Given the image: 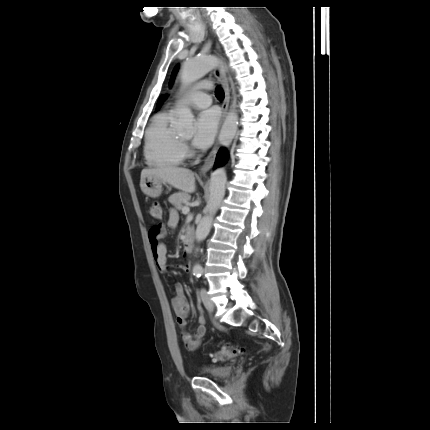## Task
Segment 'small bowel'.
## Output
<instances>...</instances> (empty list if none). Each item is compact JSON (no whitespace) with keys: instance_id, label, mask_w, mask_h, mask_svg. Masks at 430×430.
<instances>
[{"instance_id":"c3829d8e","label":"small bowel","mask_w":430,"mask_h":430,"mask_svg":"<svg viewBox=\"0 0 430 430\" xmlns=\"http://www.w3.org/2000/svg\"><path fill=\"white\" fill-rule=\"evenodd\" d=\"M178 224V215L175 211H171L168 219V226L170 228L176 227ZM167 230L164 225H153L148 232V239L154 263L158 271L162 274L168 272L170 267L167 265V248L163 242L166 237ZM184 271H189V266L184 265ZM172 307L176 314V323L182 329L187 325V317L190 313V306L183 287L178 284L175 286V295L171 301ZM206 333L205 318L201 315L198 318V326L192 334L183 333L182 342L187 351L194 353L198 350Z\"/></svg>"}]
</instances>
